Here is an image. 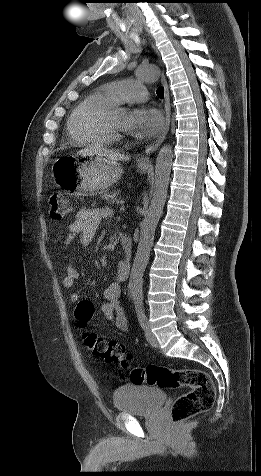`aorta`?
I'll list each match as a JSON object with an SVG mask.
<instances>
[{
  "label": "aorta",
  "instance_id": "aorta-1",
  "mask_svg": "<svg viewBox=\"0 0 261 476\" xmlns=\"http://www.w3.org/2000/svg\"><path fill=\"white\" fill-rule=\"evenodd\" d=\"M137 74L141 80L150 83L159 78V70L154 65L138 68ZM172 161V147L166 144L160 149L156 158L153 195L141 224L139 243L130 273L129 289L135 306H140L143 302V274L149 261L155 231L167 199Z\"/></svg>",
  "mask_w": 261,
  "mask_h": 476
}]
</instances>
